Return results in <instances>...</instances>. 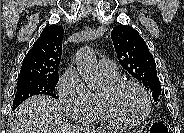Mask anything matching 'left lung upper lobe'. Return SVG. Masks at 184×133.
<instances>
[{
    "label": "left lung upper lobe",
    "instance_id": "left-lung-upper-lobe-1",
    "mask_svg": "<svg viewBox=\"0 0 184 133\" xmlns=\"http://www.w3.org/2000/svg\"><path fill=\"white\" fill-rule=\"evenodd\" d=\"M111 39L121 66L140 80L157 101L161 85L155 60L143 38L132 27L119 25L113 28Z\"/></svg>",
    "mask_w": 184,
    "mask_h": 133
}]
</instances>
